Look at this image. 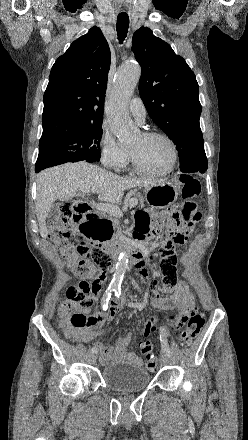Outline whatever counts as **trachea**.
Wrapping results in <instances>:
<instances>
[{"mask_svg":"<svg viewBox=\"0 0 248 440\" xmlns=\"http://www.w3.org/2000/svg\"><path fill=\"white\" fill-rule=\"evenodd\" d=\"M117 35L118 40L122 43L127 36L129 28V17L127 14H119L117 17Z\"/></svg>","mask_w":248,"mask_h":440,"instance_id":"trachea-1","label":"trachea"}]
</instances>
